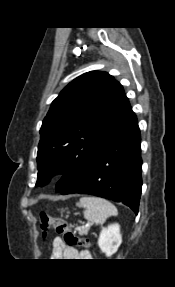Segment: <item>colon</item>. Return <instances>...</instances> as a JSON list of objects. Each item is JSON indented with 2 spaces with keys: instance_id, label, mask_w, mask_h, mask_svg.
Segmentation results:
<instances>
[{
  "instance_id": "colon-1",
  "label": "colon",
  "mask_w": 175,
  "mask_h": 287,
  "mask_svg": "<svg viewBox=\"0 0 175 287\" xmlns=\"http://www.w3.org/2000/svg\"><path fill=\"white\" fill-rule=\"evenodd\" d=\"M40 227L44 234L49 230H54L61 236L64 244L72 247L87 248L90 246L89 240L76 235L69 223L63 218H57L46 212L39 214Z\"/></svg>"
}]
</instances>
